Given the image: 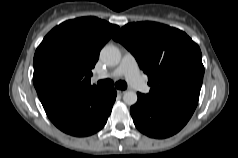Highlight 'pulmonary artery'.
I'll list each match as a JSON object with an SVG mask.
<instances>
[{
  "mask_svg": "<svg viewBox=\"0 0 238 158\" xmlns=\"http://www.w3.org/2000/svg\"><path fill=\"white\" fill-rule=\"evenodd\" d=\"M120 76H125L130 84L137 90L143 93L149 92V87L141 78L138 63L135 57L130 53L124 54L120 64L113 71L102 76H96L94 79L117 78Z\"/></svg>",
  "mask_w": 238,
  "mask_h": 158,
  "instance_id": "pulmonary-artery-1",
  "label": "pulmonary artery"
}]
</instances>
